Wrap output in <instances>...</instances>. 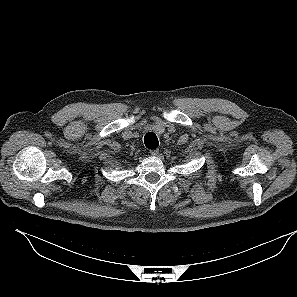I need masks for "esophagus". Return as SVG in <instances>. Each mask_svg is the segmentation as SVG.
<instances>
[{
	"label": "esophagus",
	"mask_w": 297,
	"mask_h": 297,
	"mask_svg": "<svg viewBox=\"0 0 297 297\" xmlns=\"http://www.w3.org/2000/svg\"><path fill=\"white\" fill-rule=\"evenodd\" d=\"M158 153H159V150H158V149L150 150V154H151L152 156H156V155H158Z\"/></svg>",
	"instance_id": "1"
}]
</instances>
